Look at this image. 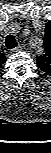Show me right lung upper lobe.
Wrapping results in <instances>:
<instances>
[{
  "instance_id": "1",
  "label": "right lung upper lobe",
  "mask_w": 51,
  "mask_h": 153,
  "mask_svg": "<svg viewBox=\"0 0 51 153\" xmlns=\"http://www.w3.org/2000/svg\"><path fill=\"white\" fill-rule=\"evenodd\" d=\"M5 61H6V57L2 53H0V68L2 64L5 63Z\"/></svg>"
}]
</instances>
